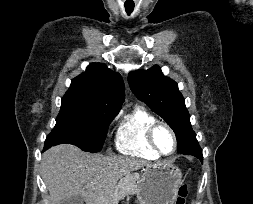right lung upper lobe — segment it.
<instances>
[{"label": "right lung upper lobe", "instance_id": "right-lung-upper-lobe-1", "mask_svg": "<svg viewBox=\"0 0 253 204\" xmlns=\"http://www.w3.org/2000/svg\"><path fill=\"white\" fill-rule=\"evenodd\" d=\"M65 95L118 113L124 100V83L120 74L103 63L90 64L84 73L71 81Z\"/></svg>", "mask_w": 253, "mask_h": 204}]
</instances>
